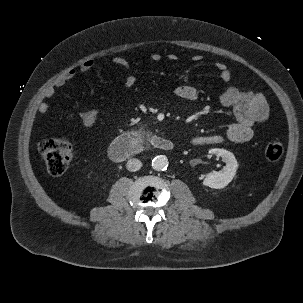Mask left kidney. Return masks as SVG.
Listing matches in <instances>:
<instances>
[{"label":"left kidney","mask_w":303,"mask_h":303,"mask_svg":"<svg viewBox=\"0 0 303 303\" xmlns=\"http://www.w3.org/2000/svg\"><path fill=\"white\" fill-rule=\"evenodd\" d=\"M210 154L220 156L226 165L216 172L209 173L203 180V185L214 189L226 187L234 178L238 163L233 153L219 148L209 150Z\"/></svg>","instance_id":"5707ae66"}]
</instances>
